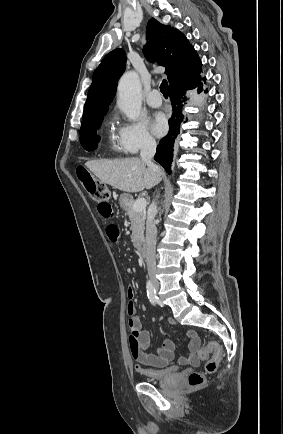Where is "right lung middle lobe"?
Masks as SVG:
<instances>
[{
    "instance_id": "1",
    "label": "right lung middle lobe",
    "mask_w": 283,
    "mask_h": 434,
    "mask_svg": "<svg viewBox=\"0 0 283 434\" xmlns=\"http://www.w3.org/2000/svg\"><path fill=\"white\" fill-rule=\"evenodd\" d=\"M102 120L103 117L91 124L82 125L80 128V142L87 151L94 150L100 141V137L97 136V130L100 128Z\"/></svg>"
}]
</instances>
